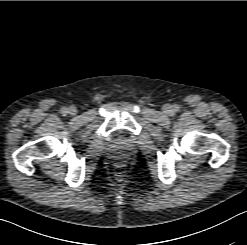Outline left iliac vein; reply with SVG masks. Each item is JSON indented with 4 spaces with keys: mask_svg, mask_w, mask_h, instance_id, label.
I'll list each match as a JSON object with an SVG mask.
<instances>
[{
    "mask_svg": "<svg viewBox=\"0 0 247 245\" xmlns=\"http://www.w3.org/2000/svg\"><path fill=\"white\" fill-rule=\"evenodd\" d=\"M162 110L165 114H169L171 112V106L169 104H166L163 106Z\"/></svg>",
    "mask_w": 247,
    "mask_h": 245,
    "instance_id": "1",
    "label": "left iliac vein"
}]
</instances>
